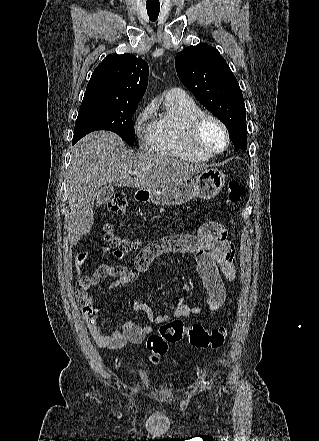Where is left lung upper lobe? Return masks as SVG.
<instances>
[{
	"label": "left lung upper lobe",
	"mask_w": 319,
	"mask_h": 441,
	"mask_svg": "<svg viewBox=\"0 0 319 441\" xmlns=\"http://www.w3.org/2000/svg\"><path fill=\"white\" fill-rule=\"evenodd\" d=\"M175 67L181 82L229 131L236 147H247L246 109L238 82L219 51L206 44L177 54Z\"/></svg>",
	"instance_id": "1"
}]
</instances>
